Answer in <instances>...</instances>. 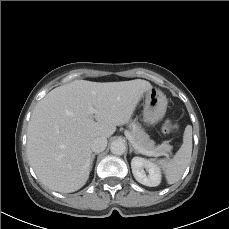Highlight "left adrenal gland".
Masks as SVG:
<instances>
[{"instance_id": "left-adrenal-gland-1", "label": "left adrenal gland", "mask_w": 229, "mask_h": 229, "mask_svg": "<svg viewBox=\"0 0 229 229\" xmlns=\"http://www.w3.org/2000/svg\"><path fill=\"white\" fill-rule=\"evenodd\" d=\"M129 147H130V154L132 152H134L135 154H139V152L137 150L133 149V147L131 146V144L129 145Z\"/></svg>"}]
</instances>
